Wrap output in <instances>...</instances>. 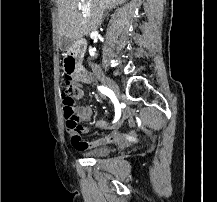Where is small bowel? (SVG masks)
Here are the masks:
<instances>
[{
  "instance_id": "c3829d8e",
  "label": "small bowel",
  "mask_w": 217,
  "mask_h": 202,
  "mask_svg": "<svg viewBox=\"0 0 217 202\" xmlns=\"http://www.w3.org/2000/svg\"><path fill=\"white\" fill-rule=\"evenodd\" d=\"M62 90H75L74 99L80 101L84 97V91L79 84L62 85ZM94 113L93 107L89 105H78L75 107V114L79 122H85L92 118ZM132 112L129 110L126 117L131 116ZM83 131H71L73 141H84V136L88 132L86 127H82ZM121 123L117 122L112 126V132L103 137L86 142H71V147H86L93 148L102 143H115L121 147H126L130 143L138 142L139 135L135 132L121 133Z\"/></svg>"
}]
</instances>
